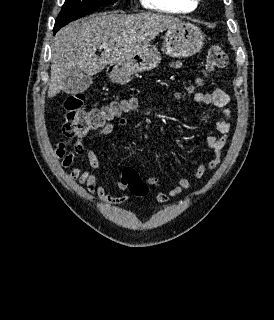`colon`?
<instances>
[{
    "instance_id": "1",
    "label": "colon",
    "mask_w": 274,
    "mask_h": 320,
    "mask_svg": "<svg viewBox=\"0 0 274 320\" xmlns=\"http://www.w3.org/2000/svg\"><path fill=\"white\" fill-rule=\"evenodd\" d=\"M228 64V55L220 45L208 48L206 55L207 70L215 72L224 69ZM84 97L71 95L64 101V120L62 134H88L95 130L97 120L119 119L127 108L125 102L115 103L100 109H83ZM101 128V127H100ZM121 182L135 196H144L148 187L134 168H126L121 175Z\"/></svg>"
}]
</instances>
